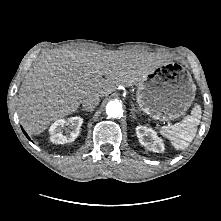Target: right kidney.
<instances>
[{
    "label": "right kidney",
    "instance_id": "1",
    "mask_svg": "<svg viewBox=\"0 0 221 221\" xmlns=\"http://www.w3.org/2000/svg\"><path fill=\"white\" fill-rule=\"evenodd\" d=\"M82 124L83 119L78 116L56 120L49 129L51 142L55 144L73 142L78 137ZM65 126H67L66 135L63 134Z\"/></svg>",
    "mask_w": 221,
    "mask_h": 221
}]
</instances>
